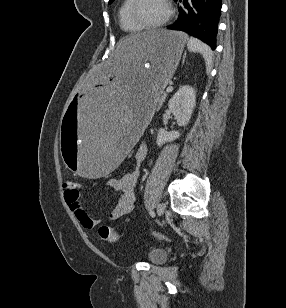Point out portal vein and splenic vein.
Wrapping results in <instances>:
<instances>
[{"instance_id":"portal-vein-and-splenic-vein-1","label":"portal vein and splenic vein","mask_w":286,"mask_h":308,"mask_svg":"<svg viewBox=\"0 0 286 308\" xmlns=\"http://www.w3.org/2000/svg\"><path fill=\"white\" fill-rule=\"evenodd\" d=\"M173 88L171 87V86H169L168 88H167V91H171Z\"/></svg>"}]
</instances>
